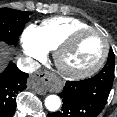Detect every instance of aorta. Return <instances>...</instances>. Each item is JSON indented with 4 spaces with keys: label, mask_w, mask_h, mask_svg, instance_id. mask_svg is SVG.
Masks as SVG:
<instances>
[{
    "label": "aorta",
    "mask_w": 117,
    "mask_h": 117,
    "mask_svg": "<svg viewBox=\"0 0 117 117\" xmlns=\"http://www.w3.org/2000/svg\"><path fill=\"white\" fill-rule=\"evenodd\" d=\"M45 107L51 111L55 112L61 107V99L57 95H48L45 98Z\"/></svg>",
    "instance_id": "762f6f07"
}]
</instances>
